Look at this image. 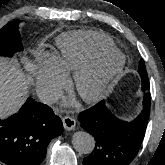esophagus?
I'll list each match as a JSON object with an SVG mask.
<instances>
[{
	"instance_id": "1",
	"label": "esophagus",
	"mask_w": 165,
	"mask_h": 165,
	"mask_svg": "<svg viewBox=\"0 0 165 165\" xmlns=\"http://www.w3.org/2000/svg\"><path fill=\"white\" fill-rule=\"evenodd\" d=\"M63 126L66 130H74L76 126V120L73 117L62 118Z\"/></svg>"
}]
</instances>
